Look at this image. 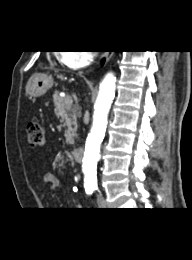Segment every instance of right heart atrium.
Returning <instances> with one entry per match:
<instances>
[{
	"label": "right heart atrium",
	"instance_id": "1",
	"mask_svg": "<svg viewBox=\"0 0 192 260\" xmlns=\"http://www.w3.org/2000/svg\"><path fill=\"white\" fill-rule=\"evenodd\" d=\"M92 59V55L87 51H65L60 55L61 62L68 68L79 69L87 64Z\"/></svg>",
	"mask_w": 192,
	"mask_h": 260
}]
</instances>
